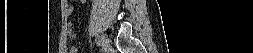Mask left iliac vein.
Wrapping results in <instances>:
<instances>
[{
	"label": "left iliac vein",
	"mask_w": 253,
	"mask_h": 53,
	"mask_svg": "<svg viewBox=\"0 0 253 53\" xmlns=\"http://www.w3.org/2000/svg\"><path fill=\"white\" fill-rule=\"evenodd\" d=\"M100 41L103 42V45H102V46H103V49L106 50L107 47H108V45H109V39H108V37H107L105 34H103V35L101 36Z\"/></svg>",
	"instance_id": "obj_1"
}]
</instances>
